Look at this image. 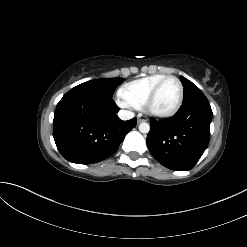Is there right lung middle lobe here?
<instances>
[{
	"mask_svg": "<svg viewBox=\"0 0 247 247\" xmlns=\"http://www.w3.org/2000/svg\"><path fill=\"white\" fill-rule=\"evenodd\" d=\"M124 80V78L91 80L74 87L70 91L98 92L112 97L116 87Z\"/></svg>",
	"mask_w": 247,
	"mask_h": 247,
	"instance_id": "right-lung-middle-lobe-1",
	"label": "right lung middle lobe"
}]
</instances>
